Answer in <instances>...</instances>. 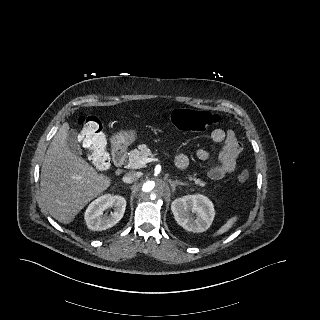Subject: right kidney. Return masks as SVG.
<instances>
[{
  "label": "right kidney",
  "instance_id": "1",
  "mask_svg": "<svg viewBox=\"0 0 320 320\" xmlns=\"http://www.w3.org/2000/svg\"><path fill=\"white\" fill-rule=\"evenodd\" d=\"M114 209L110 215L103 214L108 208ZM126 200L122 196L105 194L95 199L86 209L85 221L93 231L106 230L117 224L124 215Z\"/></svg>",
  "mask_w": 320,
  "mask_h": 320
}]
</instances>
